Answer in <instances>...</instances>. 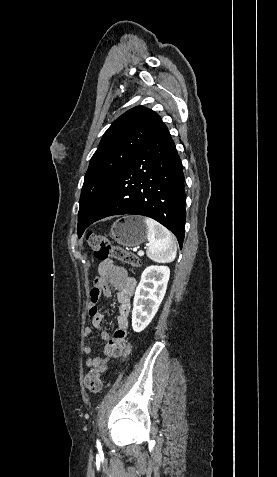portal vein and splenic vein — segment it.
<instances>
[{
  "label": "portal vein and splenic vein",
  "instance_id": "18ae733b",
  "mask_svg": "<svg viewBox=\"0 0 277 477\" xmlns=\"http://www.w3.org/2000/svg\"><path fill=\"white\" fill-rule=\"evenodd\" d=\"M133 251L137 252V248L135 247ZM144 252L142 250L138 251V255L142 256Z\"/></svg>",
  "mask_w": 277,
  "mask_h": 477
}]
</instances>
